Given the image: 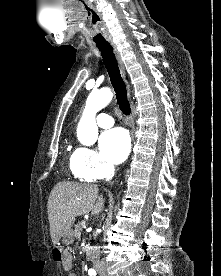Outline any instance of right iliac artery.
Here are the masks:
<instances>
[{
	"instance_id": "1",
	"label": "right iliac artery",
	"mask_w": 221,
	"mask_h": 276,
	"mask_svg": "<svg viewBox=\"0 0 221 276\" xmlns=\"http://www.w3.org/2000/svg\"><path fill=\"white\" fill-rule=\"evenodd\" d=\"M88 273H89L90 276H95V275H96V271L93 270V269H90V270L88 271Z\"/></svg>"
}]
</instances>
